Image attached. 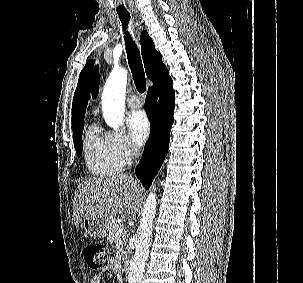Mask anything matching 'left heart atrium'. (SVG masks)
I'll return each instance as SVG.
<instances>
[{
  "instance_id": "obj_1",
  "label": "left heart atrium",
  "mask_w": 303,
  "mask_h": 283,
  "mask_svg": "<svg viewBox=\"0 0 303 283\" xmlns=\"http://www.w3.org/2000/svg\"><path fill=\"white\" fill-rule=\"evenodd\" d=\"M127 127L131 139L138 145L143 144L150 134V122L143 111L132 112L127 118Z\"/></svg>"
}]
</instances>
